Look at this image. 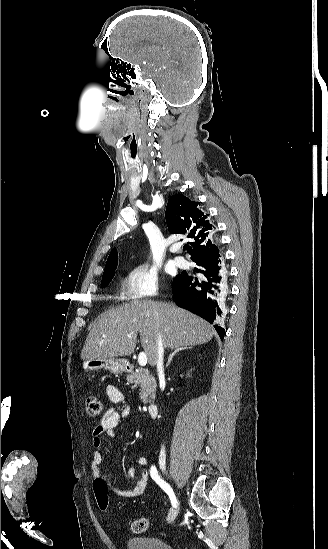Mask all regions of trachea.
Returning <instances> with one entry per match:
<instances>
[{"label": "trachea", "instance_id": "3493384b", "mask_svg": "<svg viewBox=\"0 0 328 549\" xmlns=\"http://www.w3.org/2000/svg\"><path fill=\"white\" fill-rule=\"evenodd\" d=\"M188 247H189L188 245H184V246H183V249H184V250H187Z\"/></svg>", "mask_w": 328, "mask_h": 549}]
</instances>
